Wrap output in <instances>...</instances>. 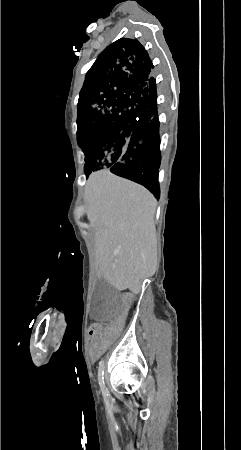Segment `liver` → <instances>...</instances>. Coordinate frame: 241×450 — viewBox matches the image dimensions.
<instances>
[{"mask_svg":"<svg viewBox=\"0 0 241 450\" xmlns=\"http://www.w3.org/2000/svg\"><path fill=\"white\" fill-rule=\"evenodd\" d=\"M84 200L99 278L139 294L143 280L157 270L156 198L140 184L99 170L90 174Z\"/></svg>","mask_w":241,"mask_h":450,"instance_id":"6515ba94","label":"liver"}]
</instances>
